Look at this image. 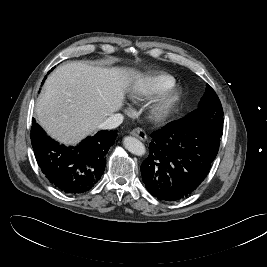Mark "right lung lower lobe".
Here are the masks:
<instances>
[{
  "instance_id": "98d812e1",
  "label": "right lung lower lobe",
  "mask_w": 267,
  "mask_h": 267,
  "mask_svg": "<svg viewBox=\"0 0 267 267\" xmlns=\"http://www.w3.org/2000/svg\"><path fill=\"white\" fill-rule=\"evenodd\" d=\"M117 131H100L75 147H65L49 138L33 119L31 142L35 158L49 182L68 194L89 191L102 176L106 154Z\"/></svg>"
}]
</instances>
